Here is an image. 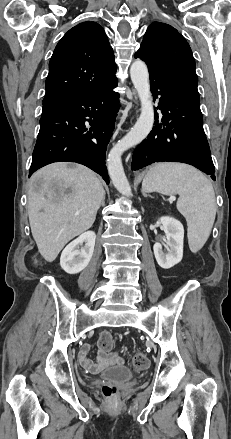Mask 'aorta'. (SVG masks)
<instances>
[{"label": "aorta", "mask_w": 231, "mask_h": 439, "mask_svg": "<svg viewBox=\"0 0 231 439\" xmlns=\"http://www.w3.org/2000/svg\"><path fill=\"white\" fill-rule=\"evenodd\" d=\"M130 76L140 99L141 114L132 129L111 149L107 159L112 183L124 196H132V191L124 173L121 156L124 151L142 142L152 130L154 123V108L146 64L140 59L135 60L130 67Z\"/></svg>", "instance_id": "aorta-1"}]
</instances>
